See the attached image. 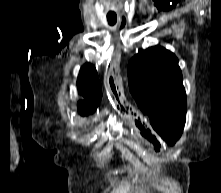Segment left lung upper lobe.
Listing matches in <instances>:
<instances>
[{
    "mask_svg": "<svg viewBox=\"0 0 221 193\" xmlns=\"http://www.w3.org/2000/svg\"><path fill=\"white\" fill-rule=\"evenodd\" d=\"M129 88L154 130L170 145L186 120V93L178 59L160 46L140 50L128 65Z\"/></svg>",
    "mask_w": 221,
    "mask_h": 193,
    "instance_id": "5c2ea615",
    "label": "left lung upper lobe"
}]
</instances>
